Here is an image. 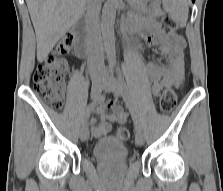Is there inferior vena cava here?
Segmentation results:
<instances>
[{
	"label": "inferior vena cava",
	"mask_w": 223,
	"mask_h": 191,
	"mask_svg": "<svg viewBox=\"0 0 223 191\" xmlns=\"http://www.w3.org/2000/svg\"><path fill=\"white\" fill-rule=\"evenodd\" d=\"M86 20L89 28L88 46L91 53L90 67L91 72L93 60L96 61L98 68L103 67V47L101 44V31L99 23V14L101 9V0H86Z\"/></svg>",
	"instance_id": "inferior-vena-cava-1"
}]
</instances>
